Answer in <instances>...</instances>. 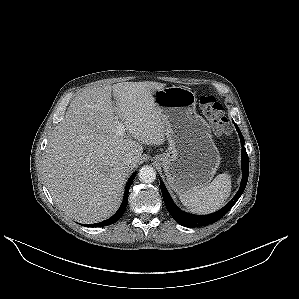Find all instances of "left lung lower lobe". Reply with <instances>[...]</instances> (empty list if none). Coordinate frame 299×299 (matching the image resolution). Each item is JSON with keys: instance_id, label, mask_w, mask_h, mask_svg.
<instances>
[{"instance_id": "obj_1", "label": "left lung lower lobe", "mask_w": 299, "mask_h": 299, "mask_svg": "<svg viewBox=\"0 0 299 299\" xmlns=\"http://www.w3.org/2000/svg\"><path fill=\"white\" fill-rule=\"evenodd\" d=\"M236 130L239 134L241 145H242V181H241V186L237 192V194L233 197V199L222 209L219 211L212 213L210 215H205V216H199V215H193L189 214L186 212L181 211L172 201L165 185L163 184L162 181H160V186H161V191H162V196L166 205V208L168 212L171 214L173 219L177 221L179 224L185 227L193 228V227H199V226H204L208 224H212L219 219H221L233 206L234 204L238 201L240 196L242 195L246 184L248 180V174H249V160H248V155L246 152V149L244 147L245 141L243 138V135L241 131L239 130L238 126L234 123Z\"/></svg>"}]
</instances>
